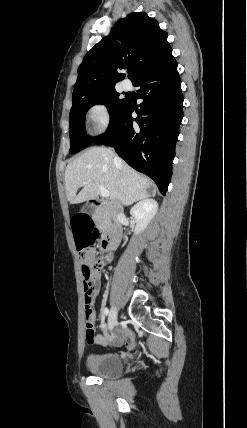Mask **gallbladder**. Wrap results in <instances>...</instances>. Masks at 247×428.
Masks as SVG:
<instances>
[{"instance_id": "1", "label": "gallbladder", "mask_w": 247, "mask_h": 428, "mask_svg": "<svg viewBox=\"0 0 247 428\" xmlns=\"http://www.w3.org/2000/svg\"><path fill=\"white\" fill-rule=\"evenodd\" d=\"M82 211H84V212L92 215L94 213V211H95V208L92 205H90V204H85L82 207Z\"/></svg>"}]
</instances>
